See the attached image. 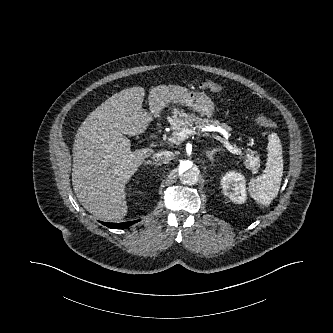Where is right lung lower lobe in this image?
<instances>
[{
	"label": "right lung lower lobe",
	"mask_w": 333,
	"mask_h": 333,
	"mask_svg": "<svg viewBox=\"0 0 333 333\" xmlns=\"http://www.w3.org/2000/svg\"><path fill=\"white\" fill-rule=\"evenodd\" d=\"M138 221H130V222H123V223H105V222H101V223L103 225H106L109 228L125 229V228L129 227L130 225H132V224H134Z\"/></svg>",
	"instance_id": "98d812e1"
}]
</instances>
